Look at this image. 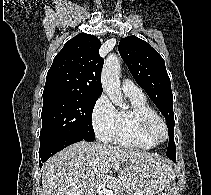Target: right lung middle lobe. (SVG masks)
I'll return each instance as SVG.
<instances>
[{"mask_svg":"<svg viewBox=\"0 0 211 195\" xmlns=\"http://www.w3.org/2000/svg\"><path fill=\"white\" fill-rule=\"evenodd\" d=\"M97 99L68 92L43 93L40 144L62 136L93 141L92 112Z\"/></svg>","mask_w":211,"mask_h":195,"instance_id":"right-lung-middle-lobe-1","label":"right lung middle lobe"}]
</instances>
